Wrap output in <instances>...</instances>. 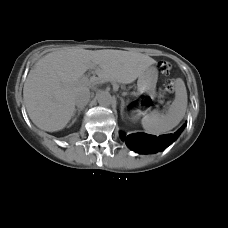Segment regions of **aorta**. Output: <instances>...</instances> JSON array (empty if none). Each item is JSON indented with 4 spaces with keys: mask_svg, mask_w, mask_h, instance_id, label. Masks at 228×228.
<instances>
[{
    "mask_svg": "<svg viewBox=\"0 0 228 228\" xmlns=\"http://www.w3.org/2000/svg\"><path fill=\"white\" fill-rule=\"evenodd\" d=\"M97 101L101 106L108 107L112 105V103L114 102V99L109 92L100 91L97 94Z\"/></svg>",
    "mask_w": 228,
    "mask_h": 228,
    "instance_id": "obj_1",
    "label": "aorta"
}]
</instances>
